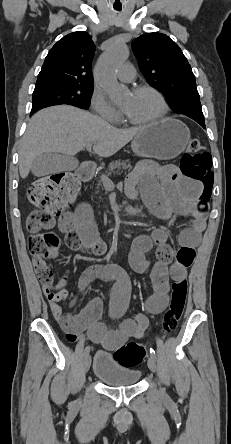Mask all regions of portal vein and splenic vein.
<instances>
[{
  "instance_id": "obj_1",
  "label": "portal vein and splenic vein",
  "mask_w": 231,
  "mask_h": 444,
  "mask_svg": "<svg viewBox=\"0 0 231 444\" xmlns=\"http://www.w3.org/2000/svg\"><path fill=\"white\" fill-rule=\"evenodd\" d=\"M91 148H92V144H87V145H86V149H87L88 151H90ZM101 180H102V183H103L104 187L114 188V183H113V181H112L107 175H104V174H103V175L101 176Z\"/></svg>"
}]
</instances>
